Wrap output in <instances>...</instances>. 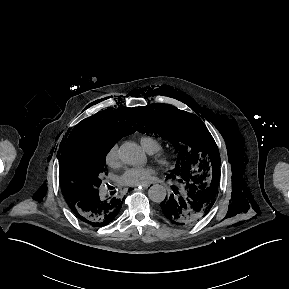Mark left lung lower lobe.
I'll return each instance as SVG.
<instances>
[{
  "label": "left lung lower lobe",
  "mask_w": 289,
  "mask_h": 289,
  "mask_svg": "<svg viewBox=\"0 0 289 289\" xmlns=\"http://www.w3.org/2000/svg\"><path fill=\"white\" fill-rule=\"evenodd\" d=\"M219 180L214 176L209 180L201 177L187 178L181 188L173 187L175 195L161 203L162 213L172 223L190 225L207 215L213 206Z\"/></svg>",
  "instance_id": "0a47b994"
}]
</instances>
